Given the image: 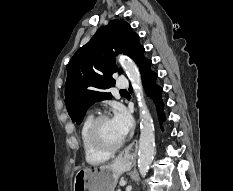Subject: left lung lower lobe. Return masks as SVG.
<instances>
[{
	"mask_svg": "<svg viewBox=\"0 0 233 191\" xmlns=\"http://www.w3.org/2000/svg\"><path fill=\"white\" fill-rule=\"evenodd\" d=\"M151 60L144 58L138 65L142 74L143 84L148 95L156 105L160 124L165 120L163 107L164 103L161 98L162 88L156 84L157 74L150 69ZM132 92V90L130 89Z\"/></svg>",
	"mask_w": 233,
	"mask_h": 191,
	"instance_id": "1",
	"label": "left lung lower lobe"
}]
</instances>
